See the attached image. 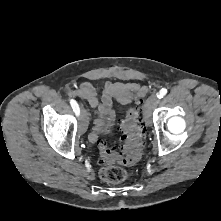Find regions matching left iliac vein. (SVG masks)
Returning a JSON list of instances; mask_svg holds the SVG:
<instances>
[{"mask_svg": "<svg viewBox=\"0 0 221 221\" xmlns=\"http://www.w3.org/2000/svg\"><path fill=\"white\" fill-rule=\"evenodd\" d=\"M159 100L156 94H152L144 105V119L147 126L152 125V111L158 104Z\"/></svg>", "mask_w": 221, "mask_h": 221, "instance_id": "obj_1", "label": "left iliac vein"}]
</instances>
